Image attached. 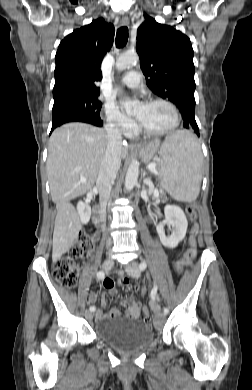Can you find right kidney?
I'll return each mask as SVG.
<instances>
[{"label": "right kidney", "instance_id": "right-kidney-1", "mask_svg": "<svg viewBox=\"0 0 252 390\" xmlns=\"http://www.w3.org/2000/svg\"><path fill=\"white\" fill-rule=\"evenodd\" d=\"M77 211L80 217V221L83 224H87L91 217V207L89 204L79 201L77 204Z\"/></svg>", "mask_w": 252, "mask_h": 390}]
</instances>
